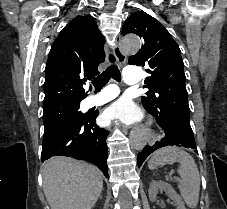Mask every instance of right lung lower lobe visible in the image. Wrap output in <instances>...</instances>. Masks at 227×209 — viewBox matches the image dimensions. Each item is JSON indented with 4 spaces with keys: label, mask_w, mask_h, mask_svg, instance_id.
Listing matches in <instances>:
<instances>
[{
    "label": "right lung lower lobe",
    "mask_w": 227,
    "mask_h": 209,
    "mask_svg": "<svg viewBox=\"0 0 227 209\" xmlns=\"http://www.w3.org/2000/svg\"><path fill=\"white\" fill-rule=\"evenodd\" d=\"M96 114H86L44 134L41 160L68 156L96 165L108 177V132L95 124Z\"/></svg>",
    "instance_id": "right-lung-lower-lobe-1"
}]
</instances>
